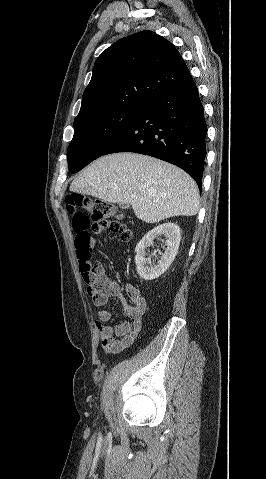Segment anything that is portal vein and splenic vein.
Segmentation results:
<instances>
[{"label":"portal vein and splenic vein","mask_w":266,"mask_h":479,"mask_svg":"<svg viewBox=\"0 0 266 479\" xmlns=\"http://www.w3.org/2000/svg\"><path fill=\"white\" fill-rule=\"evenodd\" d=\"M132 197H133V198H137V196H136V195H132Z\"/></svg>","instance_id":"obj_1"}]
</instances>
